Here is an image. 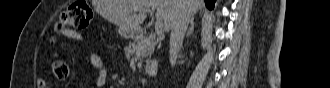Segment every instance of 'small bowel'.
<instances>
[{"label":"small bowel","mask_w":330,"mask_h":88,"mask_svg":"<svg viewBox=\"0 0 330 88\" xmlns=\"http://www.w3.org/2000/svg\"><path fill=\"white\" fill-rule=\"evenodd\" d=\"M62 34L70 39L85 43L86 38L85 36L77 31V30H71L67 29L62 32ZM88 60L90 64L97 70L98 76H97V85L103 86L107 80L108 71L106 66L104 65L101 57L95 53L94 51L90 50L88 52Z\"/></svg>","instance_id":"1"}]
</instances>
